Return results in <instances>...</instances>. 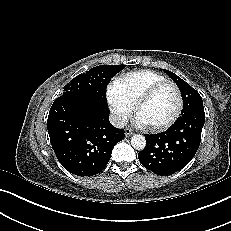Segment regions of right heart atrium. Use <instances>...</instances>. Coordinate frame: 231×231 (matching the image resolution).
<instances>
[{
  "label": "right heart atrium",
  "instance_id": "1",
  "mask_svg": "<svg viewBox=\"0 0 231 231\" xmlns=\"http://www.w3.org/2000/svg\"><path fill=\"white\" fill-rule=\"evenodd\" d=\"M120 86V85H119ZM117 86L109 92V102L113 107L115 118L118 122L123 121L128 116V108L120 98V87ZM119 88V90H118Z\"/></svg>",
  "mask_w": 231,
  "mask_h": 231
}]
</instances>
